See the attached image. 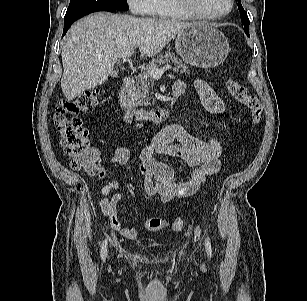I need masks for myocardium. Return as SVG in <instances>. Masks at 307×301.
Masks as SVG:
<instances>
[{
    "mask_svg": "<svg viewBox=\"0 0 307 301\" xmlns=\"http://www.w3.org/2000/svg\"><path fill=\"white\" fill-rule=\"evenodd\" d=\"M175 5L184 13L191 16L192 18L199 19V20H219L226 16H228L234 9L235 1L229 0L230 6L228 10L221 14H210L198 9L195 4L194 0H173Z\"/></svg>",
    "mask_w": 307,
    "mask_h": 301,
    "instance_id": "obj_1",
    "label": "myocardium"
}]
</instances>
